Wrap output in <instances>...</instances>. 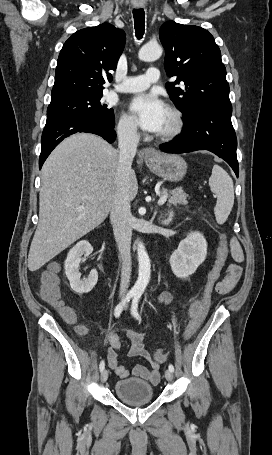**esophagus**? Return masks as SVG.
Wrapping results in <instances>:
<instances>
[{"label": "esophagus", "mask_w": 272, "mask_h": 455, "mask_svg": "<svg viewBox=\"0 0 272 455\" xmlns=\"http://www.w3.org/2000/svg\"><path fill=\"white\" fill-rule=\"evenodd\" d=\"M135 7L136 8H141L142 6L138 4V5H135ZM157 155H158V152L154 148H145V149L142 150V157L146 161H150V160L155 159V157Z\"/></svg>", "instance_id": "1"}]
</instances>
